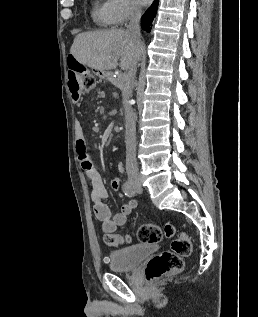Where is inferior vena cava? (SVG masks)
<instances>
[{"label":"inferior vena cava","mask_w":258,"mask_h":317,"mask_svg":"<svg viewBox=\"0 0 258 317\" xmlns=\"http://www.w3.org/2000/svg\"><path fill=\"white\" fill-rule=\"evenodd\" d=\"M141 16V8L140 6H133V10L131 12L130 22L127 26V32H130L132 38L134 40H141V32H140V20ZM137 58H135L133 64L130 66L129 76L127 80V84L130 88L132 84H134L135 74L137 70ZM128 96H132L131 90ZM125 108V126H126V165L128 169V178L130 180H139L140 174L138 172V167L136 163V114L133 112V108L131 104H126Z\"/></svg>","instance_id":"1"}]
</instances>
